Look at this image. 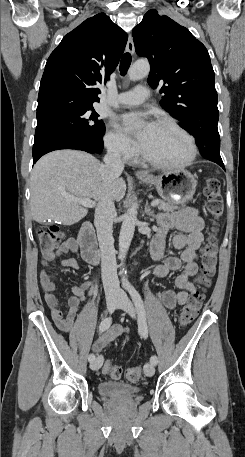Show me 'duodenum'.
<instances>
[{
	"label": "duodenum",
	"mask_w": 245,
	"mask_h": 457,
	"mask_svg": "<svg viewBox=\"0 0 245 457\" xmlns=\"http://www.w3.org/2000/svg\"><path fill=\"white\" fill-rule=\"evenodd\" d=\"M81 256L85 262L96 265L100 262V253L93 225L90 221H85L80 229L78 237Z\"/></svg>",
	"instance_id": "obj_1"
}]
</instances>
